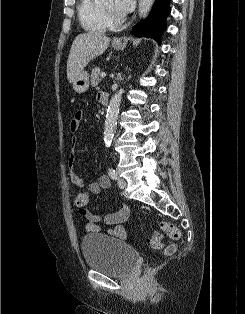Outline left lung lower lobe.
<instances>
[{
	"mask_svg": "<svg viewBox=\"0 0 245 314\" xmlns=\"http://www.w3.org/2000/svg\"><path fill=\"white\" fill-rule=\"evenodd\" d=\"M170 0H156L146 22H140L132 29L137 37L153 38L160 43L166 30V18L170 14Z\"/></svg>",
	"mask_w": 245,
	"mask_h": 314,
	"instance_id": "1",
	"label": "left lung lower lobe"
}]
</instances>
